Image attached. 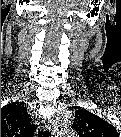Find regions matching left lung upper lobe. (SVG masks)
Listing matches in <instances>:
<instances>
[{
    "mask_svg": "<svg viewBox=\"0 0 121 137\" xmlns=\"http://www.w3.org/2000/svg\"><path fill=\"white\" fill-rule=\"evenodd\" d=\"M72 128L75 129L79 135H90L98 137H116L118 132L114 126L99 116L87 110L76 111V117Z\"/></svg>",
    "mask_w": 121,
    "mask_h": 137,
    "instance_id": "obj_1",
    "label": "left lung upper lobe"
}]
</instances>
